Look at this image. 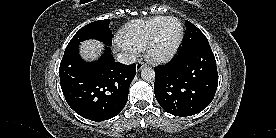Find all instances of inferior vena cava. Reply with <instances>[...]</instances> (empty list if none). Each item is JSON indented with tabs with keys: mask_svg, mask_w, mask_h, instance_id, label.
Listing matches in <instances>:
<instances>
[{
	"mask_svg": "<svg viewBox=\"0 0 276 138\" xmlns=\"http://www.w3.org/2000/svg\"><path fill=\"white\" fill-rule=\"evenodd\" d=\"M117 60L122 64L131 65L135 63L136 57L133 54L121 52L117 54Z\"/></svg>",
	"mask_w": 276,
	"mask_h": 138,
	"instance_id": "602c4592",
	"label": "inferior vena cava"
}]
</instances>
